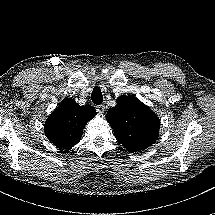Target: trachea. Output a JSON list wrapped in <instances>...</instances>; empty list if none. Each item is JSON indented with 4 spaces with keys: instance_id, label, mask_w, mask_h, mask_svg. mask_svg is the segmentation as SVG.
Segmentation results:
<instances>
[{
    "instance_id": "obj_1",
    "label": "trachea",
    "mask_w": 215,
    "mask_h": 215,
    "mask_svg": "<svg viewBox=\"0 0 215 215\" xmlns=\"http://www.w3.org/2000/svg\"><path fill=\"white\" fill-rule=\"evenodd\" d=\"M92 101L96 105H100L103 102L102 92L99 87H96L92 91Z\"/></svg>"
}]
</instances>
